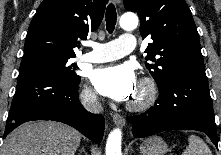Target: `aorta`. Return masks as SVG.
I'll return each mask as SVG.
<instances>
[{"mask_svg":"<svg viewBox=\"0 0 221 155\" xmlns=\"http://www.w3.org/2000/svg\"><path fill=\"white\" fill-rule=\"evenodd\" d=\"M138 25V18L133 14H125L120 18V26L126 30H134ZM122 132L119 128L110 132L106 143V155H121Z\"/></svg>","mask_w":221,"mask_h":155,"instance_id":"obj_1","label":"aorta"}]
</instances>
